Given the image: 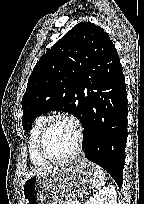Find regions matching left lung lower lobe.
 I'll use <instances>...</instances> for the list:
<instances>
[{
	"mask_svg": "<svg viewBox=\"0 0 144 204\" xmlns=\"http://www.w3.org/2000/svg\"><path fill=\"white\" fill-rule=\"evenodd\" d=\"M85 157L122 186L127 141V93L120 59L103 60L86 73Z\"/></svg>",
	"mask_w": 144,
	"mask_h": 204,
	"instance_id": "obj_1",
	"label": "left lung lower lobe"
}]
</instances>
